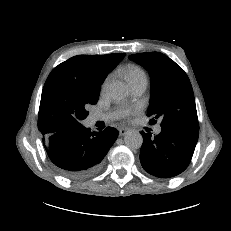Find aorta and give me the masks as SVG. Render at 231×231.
<instances>
[{"label": "aorta", "mask_w": 231, "mask_h": 231, "mask_svg": "<svg viewBox=\"0 0 231 231\" xmlns=\"http://www.w3.org/2000/svg\"><path fill=\"white\" fill-rule=\"evenodd\" d=\"M109 96L115 101H123L128 95V89L122 82H113L108 87ZM125 145L132 150L139 149L142 146V135L136 130H130L124 137Z\"/></svg>", "instance_id": "aorta-1"}]
</instances>
